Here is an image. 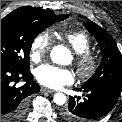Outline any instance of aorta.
I'll return each mask as SVG.
<instances>
[{
	"label": "aorta",
	"mask_w": 122,
	"mask_h": 122,
	"mask_svg": "<svg viewBox=\"0 0 122 122\" xmlns=\"http://www.w3.org/2000/svg\"><path fill=\"white\" fill-rule=\"evenodd\" d=\"M51 60L58 64H66L70 59V51L63 45L54 46L50 54ZM53 101L57 105H64L66 102V95L64 93H56Z\"/></svg>",
	"instance_id": "1"
}]
</instances>
